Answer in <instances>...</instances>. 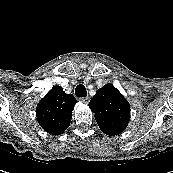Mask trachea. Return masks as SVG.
<instances>
[{"label": "trachea", "instance_id": "3493384b", "mask_svg": "<svg viewBox=\"0 0 173 173\" xmlns=\"http://www.w3.org/2000/svg\"><path fill=\"white\" fill-rule=\"evenodd\" d=\"M75 94L77 97H86L87 96V90L84 87V85L79 84L75 89Z\"/></svg>", "mask_w": 173, "mask_h": 173}]
</instances>
